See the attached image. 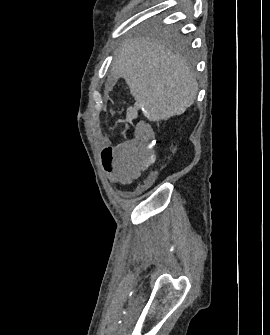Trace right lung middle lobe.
Masks as SVG:
<instances>
[{"label":"right lung middle lobe","instance_id":"right-lung-middle-lobe-1","mask_svg":"<svg viewBox=\"0 0 270 335\" xmlns=\"http://www.w3.org/2000/svg\"><path fill=\"white\" fill-rule=\"evenodd\" d=\"M170 35H171L172 38L178 39L177 33L174 30L170 32Z\"/></svg>","mask_w":270,"mask_h":335}]
</instances>
